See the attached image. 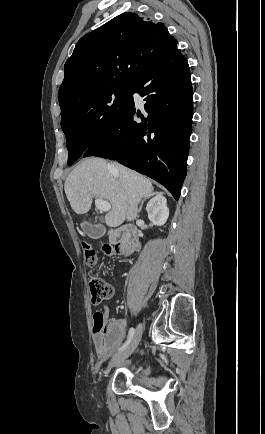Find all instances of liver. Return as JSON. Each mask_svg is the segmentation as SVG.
<instances>
[{"mask_svg":"<svg viewBox=\"0 0 265 434\" xmlns=\"http://www.w3.org/2000/svg\"><path fill=\"white\" fill-rule=\"evenodd\" d=\"M64 190L76 214H87L92 198L109 200L112 210L106 214L105 224L117 228L126 220L129 204H139L154 188L149 178L117 162L85 158L66 178Z\"/></svg>","mask_w":265,"mask_h":434,"instance_id":"obj_1","label":"liver"}]
</instances>
